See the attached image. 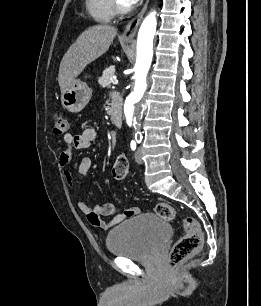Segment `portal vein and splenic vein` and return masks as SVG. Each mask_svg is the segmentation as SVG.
I'll list each match as a JSON object with an SVG mask.
<instances>
[{
	"label": "portal vein and splenic vein",
	"instance_id": "obj_1",
	"mask_svg": "<svg viewBox=\"0 0 261 306\" xmlns=\"http://www.w3.org/2000/svg\"><path fill=\"white\" fill-rule=\"evenodd\" d=\"M112 84H114V85L118 84V80L117 79H113L112 80Z\"/></svg>",
	"mask_w": 261,
	"mask_h": 306
}]
</instances>
